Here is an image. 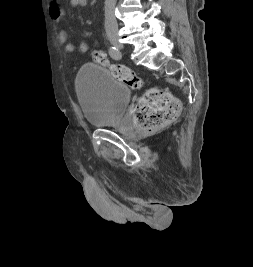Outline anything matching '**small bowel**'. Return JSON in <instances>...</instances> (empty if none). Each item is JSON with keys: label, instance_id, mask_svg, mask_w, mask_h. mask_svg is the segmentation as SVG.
Listing matches in <instances>:
<instances>
[{"label": "small bowel", "instance_id": "small-bowel-1", "mask_svg": "<svg viewBox=\"0 0 253 267\" xmlns=\"http://www.w3.org/2000/svg\"><path fill=\"white\" fill-rule=\"evenodd\" d=\"M69 4L73 8H82L87 4V0H69ZM49 11L53 19L60 20L63 16V11L60 7L59 0H48ZM58 41L67 53H72L75 50V45L69 40L65 29L60 28L58 31Z\"/></svg>", "mask_w": 253, "mask_h": 267}]
</instances>
